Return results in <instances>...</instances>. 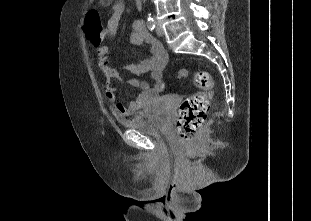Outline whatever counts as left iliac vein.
<instances>
[{
  "label": "left iliac vein",
  "mask_w": 311,
  "mask_h": 221,
  "mask_svg": "<svg viewBox=\"0 0 311 221\" xmlns=\"http://www.w3.org/2000/svg\"><path fill=\"white\" fill-rule=\"evenodd\" d=\"M156 33L158 36H163L164 35V31L163 29L161 28V26L159 25L158 22H156Z\"/></svg>",
  "instance_id": "obj_1"
}]
</instances>
